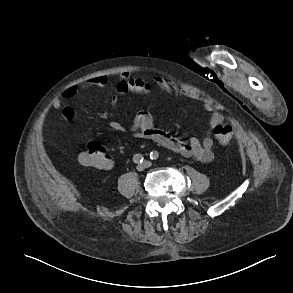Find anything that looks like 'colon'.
I'll return each mask as SVG.
<instances>
[{"mask_svg": "<svg viewBox=\"0 0 293 293\" xmlns=\"http://www.w3.org/2000/svg\"><path fill=\"white\" fill-rule=\"evenodd\" d=\"M216 139L223 145L228 144L233 136V128L229 124H219L214 128ZM79 162L86 167L106 169L109 166L110 157L106 148L100 142H91L87 148L79 154Z\"/></svg>", "mask_w": 293, "mask_h": 293, "instance_id": "5ec220e1", "label": "colon"}]
</instances>
